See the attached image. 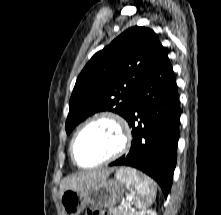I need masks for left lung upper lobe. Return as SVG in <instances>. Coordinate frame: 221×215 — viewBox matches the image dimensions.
I'll return each mask as SVG.
<instances>
[{
	"instance_id": "obj_1",
	"label": "left lung upper lobe",
	"mask_w": 221,
	"mask_h": 215,
	"mask_svg": "<svg viewBox=\"0 0 221 215\" xmlns=\"http://www.w3.org/2000/svg\"><path fill=\"white\" fill-rule=\"evenodd\" d=\"M161 47L153 30L134 26L93 55L73 89L66 133L99 111H112L126 118L129 103Z\"/></svg>"
}]
</instances>
